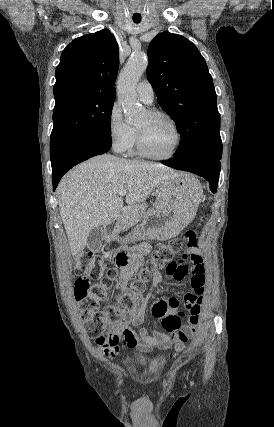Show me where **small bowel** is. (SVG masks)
I'll list each match as a JSON object with an SVG mask.
<instances>
[{"label":"small bowel","instance_id":"small-bowel-1","mask_svg":"<svg viewBox=\"0 0 274 427\" xmlns=\"http://www.w3.org/2000/svg\"><path fill=\"white\" fill-rule=\"evenodd\" d=\"M149 250V243H143L130 261L119 268L114 280L117 294L128 290L127 283L130 277L143 266L144 256ZM188 250V253L178 259L180 264H170L164 271L166 278L188 280L191 284V291L183 299L184 307L189 314L188 324L183 311H170L171 308L177 309L180 305L179 294L171 293L169 299L155 300L152 312L153 324L155 327H165L166 331H173L177 327H184L183 330L178 333L175 330L173 335L157 330L150 335L148 329L142 326L147 307L163 281V276L155 272L152 275V290L146 296L139 293L133 294V303L130 308L123 307L118 301L108 304L117 308L119 317L116 320H107L104 333L96 338L97 350L101 355L114 357L121 346L128 349L138 348L143 352H150L156 348L166 349L173 344L177 346L186 342L196 332L205 290L204 272L207 268L203 264L201 247L198 244H191ZM81 275L84 276V280H88L87 272ZM134 327L138 328L137 331L133 329Z\"/></svg>","mask_w":274,"mask_h":427}]
</instances>
